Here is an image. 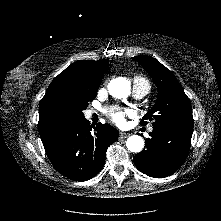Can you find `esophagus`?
Returning a JSON list of instances; mask_svg holds the SVG:
<instances>
[{
    "instance_id": "obj_1",
    "label": "esophagus",
    "mask_w": 221,
    "mask_h": 221,
    "mask_svg": "<svg viewBox=\"0 0 221 221\" xmlns=\"http://www.w3.org/2000/svg\"><path fill=\"white\" fill-rule=\"evenodd\" d=\"M120 138H127L129 136V133L126 132H120Z\"/></svg>"
}]
</instances>
